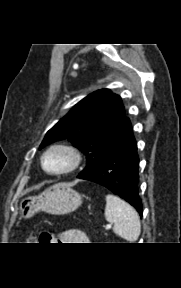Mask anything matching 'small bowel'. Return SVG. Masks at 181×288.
Wrapping results in <instances>:
<instances>
[{"instance_id": "obj_1", "label": "small bowel", "mask_w": 181, "mask_h": 288, "mask_svg": "<svg viewBox=\"0 0 181 288\" xmlns=\"http://www.w3.org/2000/svg\"><path fill=\"white\" fill-rule=\"evenodd\" d=\"M48 235L47 242H62V243H88L89 237L81 230L78 229H70L59 236H53L52 234Z\"/></svg>"}]
</instances>
